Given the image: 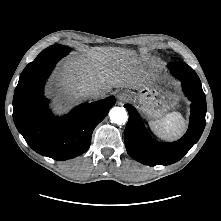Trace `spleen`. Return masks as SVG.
<instances>
[{
  "label": "spleen",
  "instance_id": "obj_1",
  "mask_svg": "<svg viewBox=\"0 0 221 221\" xmlns=\"http://www.w3.org/2000/svg\"><path fill=\"white\" fill-rule=\"evenodd\" d=\"M149 126L153 133L163 140H174L183 135L186 122L179 112L167 113L160 120L151 121Z\"/></svg>",
  "mask_w": 221,
  "mask_h": 221
}]
</instances>
